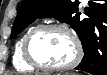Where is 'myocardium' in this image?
<instances>
[{
	"instance_id": "myocardium-1",
	"label": "myocardium",
	"mask_w": 107,
	"mask_h": 75,
	"mask_svg": "<svg viewBox=\"0 0 107 75\" xmlns=\"http://www.w3.org/2000/svg\"><path fill=\"white\" fill-rule=\"evenodd\" d=\"M49 30H57L65 33L72 41L74 46V57L73 59L64 65H47L39 62L31 53L30 46L32 40L37 36L39 33ZM22 54L24 60L35 69L44 70V71H64L74 68L81 60L83 55V49L81 42L77 35L66 25L60 23H48L42 24L35 28H33L25 37L23 46H22Z\"/></svg>"
}]
</instances>
